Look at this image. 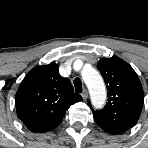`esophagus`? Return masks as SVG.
<instances>
[{
	"label": "esophagus",
	"instance_id": "1",
	"mask_svg": "<svg viewBox=\"0 0 148 148\" xmlns=\"http://www.w3.org/2000/svg\"><path fill=\"white\" fill-rule=\"evenodd\" d=\"M82 97L84 99H87L88 98V90L87 89H84L83 92H82Z\"/></svg>",
	"mask_w": 148,
	"mask_h": 148
}]
</instances>
